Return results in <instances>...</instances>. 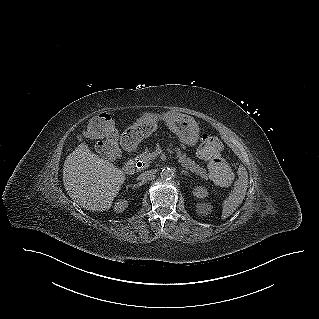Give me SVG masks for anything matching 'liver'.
Masks as SVG:
<instances>
[{
	"label": "liver",
	"mask_w": 319,
	"mask_h": 319,
	"mask_svg": "<svg viewBox=\"0 0 319 319\" xmlns=\"http://www.w3.org/2000/svg\"><path fill=\"white\" fill-rule=\"evenodd\" d=\"M124 181V172L94 154L86 143L79 144L64 162V187L70 198L86 210L110 209Z\"/></svg>",
	"instance_id": "1"
}]
</instances>
